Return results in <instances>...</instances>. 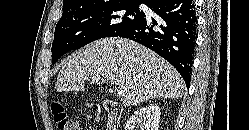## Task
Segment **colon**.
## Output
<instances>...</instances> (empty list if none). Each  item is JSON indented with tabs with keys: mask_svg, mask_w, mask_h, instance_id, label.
<instances>
[{
	"mask_svg": "<svg viewBox=\"0 0 249 130\" xmlns=\"http://www.w3.org/2000/svg\"><path fill=\"white\" fill-rule=\"evenodd\" d=\"M52 112L59 130H80L78 122L65 111L60 103L55 102L52 105Z\"/></svg>",
	"mask_w": 249,
	"mask_h": 130,
	"instance_id": "5ec220e1",
	"label": "colon"
}]
</instances>
